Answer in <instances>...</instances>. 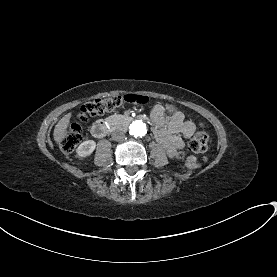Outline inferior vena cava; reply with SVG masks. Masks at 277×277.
<instances>
[{
    "label": "inferior vena cava",
    "mask_w": 277,
    "mask_h": 277,
    "mask_svg": "<svg viewBox=\"0 0 277 277\" xmlns=\"http://www.w3.org/2000/svg\"><path fill=\"white\" fill-rule=\"evenodd\" d=\"M112 139L118 142L123 141L125 139V134L121 131H114L112 133Z\"/></svg>",
    "instance_id": "obj_1"
}]
</instances>
